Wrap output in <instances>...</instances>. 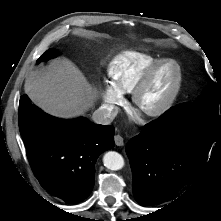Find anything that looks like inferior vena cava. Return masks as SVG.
Wrapping results in <instances>:
<instances>
[{
	"label": "inferior vena cava",
	"instance_id": "1",
	"mask_svg": "<svg viewBox=\"0 0 221 221\" xmlns=\"http://www.w3.org/2000/svg\"><path fill=\"white\" fill-rule=\"evenodd\" d=\"M118 114V107L113 105H103L94 111L92 119L97 124L108 125Z\"/></svg>",
	"mask_w": 221,
	"mask_h": 221
}]
</instances>
